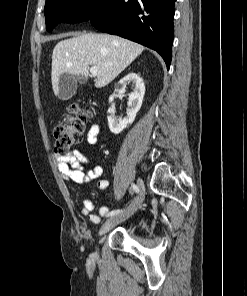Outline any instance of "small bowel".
Returning a JSON list of instances; mask_svg holds the SVG:
<instances>
[{
	"mask_svg": "<svg viewBox=\"0 0 247 296\" xmlns=\"http://www.w3.org/2000/svg\"><path fill=\"white\" fill-rule=\"evenodd\" d=\"M100 125L93 124L88 131V142L90 144H96L100 134ZM55 159L57 162V168L62 178L66 181H72L76 184H87L98 179L97 189L105 191L109 186L107 179H101L103 174V167L95 165L91 169H86V166L91 165L92 161L89 157L85 156L77 150L65 154H56ZM94 203L91 198L86 197L83 200V206L80 213L84 217H88L90 222L98 224L101 222V218L108 216L110 213L109 208L106 205H102L99 213L100 216L93 214Z\"/></svg>",
	"mask_w": 247,
	"mask_h": 296,
	"instance_id": "1",
	"label": "small bowel"
}]
</instances>
